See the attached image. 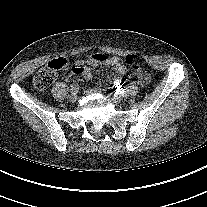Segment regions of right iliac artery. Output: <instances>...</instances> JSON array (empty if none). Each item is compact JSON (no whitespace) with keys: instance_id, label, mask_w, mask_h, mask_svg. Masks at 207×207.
Masks as SVG:
<instances>
[{"instance_id":"right-iliac-artery-1","label":"right iliac artery","mask_w":207,"mask_h":207,"mask_svg":"<svg viewBox=\"0 0 207 207\" xmlns=\"http://www.w3.org/2000/svg\"><path fill=\"white\" fill-rule=\"evenodd\" d=\"M70 90H71V93H77L79 91V85L73 84Z\"/></svg>"}]
</instances>
